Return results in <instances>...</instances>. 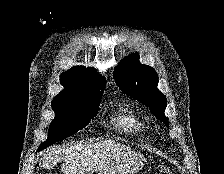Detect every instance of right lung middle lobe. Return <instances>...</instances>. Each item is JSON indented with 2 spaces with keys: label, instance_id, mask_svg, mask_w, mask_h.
Listing matches in <instances>:
<instances>
[{
  "label": "right lung middle lobe",
  "instance_id": "dd1d6c3e",
  "mask_svg": "<svg viewBox=\"0 0 224 174\" xmlns=\"http://www.w3.org/2000/svg\"><path fill=\"white\" fill-rule=\"evenodd\" d=\"M100 99H87L75 103L51 104L55 112L48 138L43 142L38 151L62 141L87 126L96 116Z\"/></svg>",
  "mask_w": 224,
  "mask_h": 174
}]
</instances>
